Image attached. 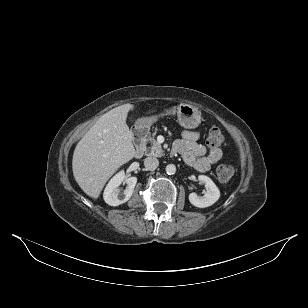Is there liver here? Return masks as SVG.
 <instances>
[{
	"label": "liver",
	"instance_id": "liver-1",
	"mask_svg": "<svg viewBox=\"0 0 308 308\" xmlns=\"http://www.w3.org/2000/svg\"><path fill=\"white\" fill-rule=\"evenodd\" d=\"M132 104L113 108L78 142L72 160L73 175L80 188L97 199L109 178L135 155L133 133L126 124Z\"/></svg>",
	"mask_w": 308,
	"mask_h": 308
}]
</instances>
